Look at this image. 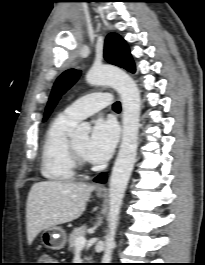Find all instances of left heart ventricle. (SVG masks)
I'll return each instance as SVG.
<instances>
[{
  "instance_id": "obj_1",
  "label": "left heart ventricle",
  "mask_w": 205,
  "mask_h": 265,
  "mask_svg": "<svg viewBox=\"0 0 205 265\" xmlns=\"http://www.w3.org/2000/svg\"><path fill=\"white\" fill-rule=\"evenodd\" d=\"M87 141H88V138L85 136V137H81V138H77V139H74L73 142L76 146V148L84 155V149H85V146L87 144Z\"/></svg>"
}]
</instances>
